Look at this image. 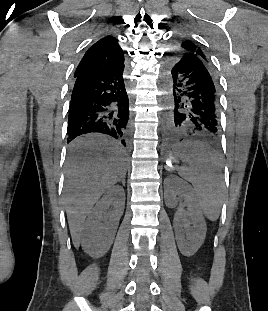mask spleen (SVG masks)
<instances>
[{
	"label": "spleen",
	"mask_w": 268,
	"mask_h": 311,
	"mask_svg": "<svg viewBox=\"0 0 268 311\" xmlns=\"http://www.w3.org/2000/svg\"><path fill=\"white\" fill-rule=\"evenodd\" d=\"M189 152L181 158L189 162L188 168H180L181 177L192 183L197 202L205 216L215 221L222 206L221 161L216 148H209L204 140H193Z\"/></svg>",
	"instance_id": "1"
}]
</instances>
